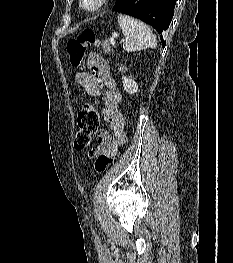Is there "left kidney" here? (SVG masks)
Here are the masks:
<instances>
[{
  "label": "left kidney",
  "instance_id": "left-kidney-1",
  "mask_svg": "<svg viewBox=\"0 0 233 263\" xmlns=\"http://www.w3.org/2000/svg\"><path fill=\"white\" fill-rule=\"evenodd\" d=\"M119 71L123 72L124 67H120ZM122 80H123V87L126 92H128L129 94H134L138 91V85L131 76L130 77L123 76Z\"/></svg>",
  "mask_w": 233,
  "mask_h": 263
}]
</instances>
